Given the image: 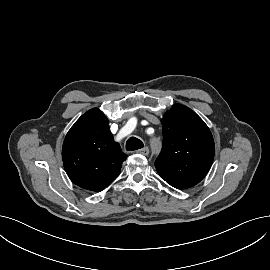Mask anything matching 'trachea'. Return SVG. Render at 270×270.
Instances as JSON below:
<instances>
[{
    "mask_svg": "<svg viewBox=\"0 0 270 270\" xmlns=\"http://www.w3.org/2000/svg\"><path fill=\"white\" fill-rule=\"evenodd\" d=\"M143 142L136 138V137H130L126 142V150L127 151H134L143 148Z\"/></svg>",
    "mask_w": 270,
    "mask_h": 270,
    "instance_id": "obj_1",
    "label": "trachea"
}]
</instances>
